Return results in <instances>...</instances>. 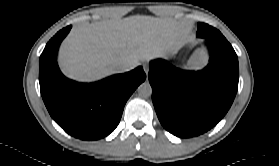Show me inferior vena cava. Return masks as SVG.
<instances>
[{
	"mask_svg": "<svg viewBox=\"0 0 279 166\" xmlns=\"http://www.w3.org/2000/svg\"><path fill=\"white\" fill-rule=\"evenodd\" d=\"M138 62L136 61H129V62H125V63H122L121 65H119V72H127V71H130L132 69H134L135 67L138 66Z\"/></svg>",
	"mask_w": 279,
	"mask_h": 166,
	"instance_id": "obj_1",
	"label": "inferior vena cava"
}]
</instances>
